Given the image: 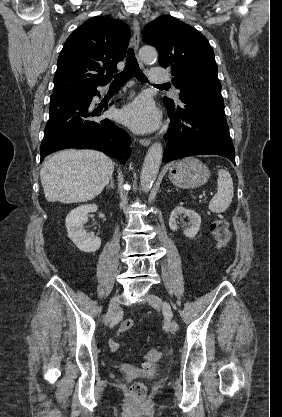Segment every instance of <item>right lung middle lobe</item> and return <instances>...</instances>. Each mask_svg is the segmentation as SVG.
I'll return each instance as SVG.
<instances>
[{
    "instance_id": "1",
    "label": "right lung middle lobe",
    "mask_w": 282,
    "mask_h": 417,
    "mask_svg": "<svg viewBox=\"0 0 282 417\" xmlns=\"http://www.w3.org/2000/svg\"><path fill=\"white\" fill-rule=\"evenodd\" d=\"M77 92H80V91L67 92V93H61V94H53V95H51V101H55V100L64 98V97H66L70 94L77 93Z\"/></svg>"
}]
</instances>
